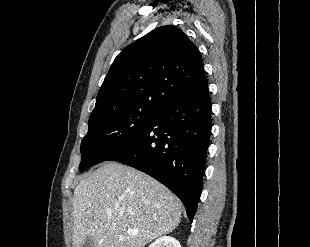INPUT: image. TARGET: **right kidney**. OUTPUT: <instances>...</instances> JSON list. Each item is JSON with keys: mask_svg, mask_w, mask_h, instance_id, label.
<instances>
[{"mask_svg": "<svg viewBox=\"0 0 310 247\" xmlns=\"http://www.w3.org/2000/svg\"><path fill=\"white\" fill-rule=\"evenodd\" d=\"M149 247H181L178 240L171 236H162L155 240Z\"/></svg>", "mask_w": 310, "mask_h": 247, "instance_id": "1", "label": "right kidney"}]
</instances>
